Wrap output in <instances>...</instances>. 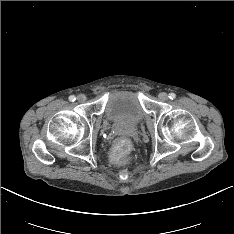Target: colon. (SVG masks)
<instances>
[{"label": "colon", "mask_w": 234, "mask_h": 234, "mask_svg": "<svg viewBox=\"0 0 234 234\" xmlns=\"http://www.w3.org/2000/svg\"><path fill=\"white\" fill-rule=\"evenodd\" d=\"M133 150V143L128 138H121L114 142L113 148L109 152V159L112 163L124 166L130 160V153Z\"/></svg>", "instance_id": "1"}]
</instances>
